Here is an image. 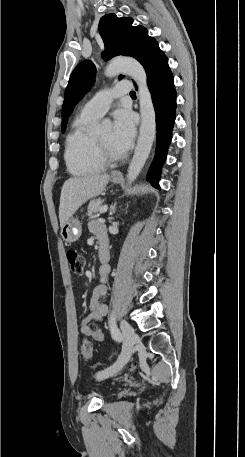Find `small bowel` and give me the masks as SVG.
I'll use <instances>...</instances> for the list:
<instances>
[{"instance_id":"small-bowel-1","label":"small bowel","mask_w":245,"mask_h":457,"mask_svg":"<svg viewBox=\"0 0 245 457\" xmlns=\"http://www.w3.org/2000/svg\"><path fill=\"white\" fill-rule=\"evenodd\" d=\"M90 230L96 236L99 248H108L107 234L105 227L97 221L90 223ZM109 267L104 266L100 268V283L95 286L89 301V313L84 317L79 325V331L84 336H89L95 341L102 342L104 340V332L100 327L94 325L95 322L101 321L107 314L108 308L103 303V298L107 293V288L104 284L107 275L109 274Z\"/></svg>"}]
</instances>
